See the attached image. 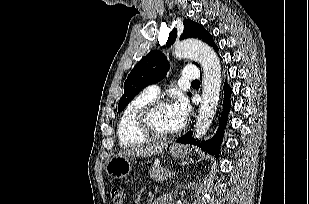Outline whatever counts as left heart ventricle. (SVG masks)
I'll use <instances>...</instances> for the list:
<instances>
[{
    "instance_id": "obj_1",
    "label": "left heart ventricle",
    "mask_w": 309,
    "mask_h": 204,
    "mask_svg": "<svg viewBox=\"0 0 309 204\" xmlns=\"http://www.w3.org/2000/svg\"><path fill=\"white\" fill-rule=\"evenodd\" d=\"M152 125L157 132L168 133L177 129L175 117L170 105L160 107L152 117Z\"/></svg>"
}]
</instances>
